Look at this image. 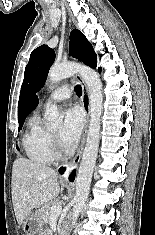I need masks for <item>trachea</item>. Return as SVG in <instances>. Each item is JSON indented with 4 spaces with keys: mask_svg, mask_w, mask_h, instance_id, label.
I'll return each instance as SVG.
<instances>
[{
    "mask_svg": "<svg viewBox=\"0 0 155 235\" xmlns=\"http://www.w3.org/2000/svg\"><path fill=\"white\" fill-rule=\"evenodd\" d=\"M75 92H76V94L78 95V96H81L82 95V88H81V86L80 85H76L75 86Z\"/></svg>",
    "mask_w": 155,
    "mask_h": 235,
    "instance_id": "1",
    "label": "trachea"
}]
</instances>
